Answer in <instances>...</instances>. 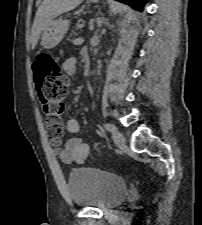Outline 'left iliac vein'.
<instances>
[{
	"label": "left iliac vein",
	"mask_w": 202,
	"mask_h": 225,
	"mask_svg": "<svg viewBox=\"0 0 202 225\" xmlns=\"http://www.w3.org/2000/svg\"><path fill=\"white\" fill-rule=\"evenodd\" d=\"M112 135H113V140H114L115 144L119 148H122L125 146L126 140H125L124 135L121 132L116 130V131L112 132Z\"/></svg>",
	"instance_id": "left-iliac-vein-1"
}]
</instances>
